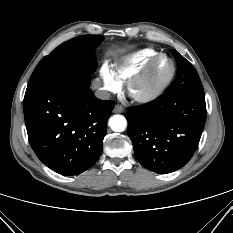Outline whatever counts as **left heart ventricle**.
<instances>
[{"mask_svg":"<svg viewBox=\"0 0 233 233\" xmlns=\"http://www.w3.org/2000/svg\"><path fill=\"white\" fill-rule=\"evenodd\" d=\"M171 64L168 59H161L154 68L148 81L137 88V92H144L155 84L162 81L170 72Z\"/></svg>","mask_w":233,"mask_h":233,"instance_id":"left-heart-ventricle-1","label":"left heart ventricle"}]
</instances>
